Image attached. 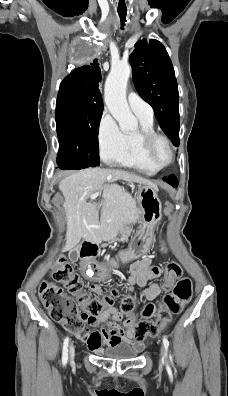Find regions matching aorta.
<instances>
[{"mask_svg":"<svg viewBox=\"0 0 228 396\" xmlns=\"http://www.w3.org/2000/svg\"><path fill=\"white\" fill-rule=\"evenodd\" d=\"M131 67L127 63L112 66L105 82V103L112 116L119 123L121 131H134L138 125L137 119L130 111L126 99V87Z\"/></svg>","mask_w":228,"mask_h":396,"instance_id":"1","label":"aorta"}]
</instances>
